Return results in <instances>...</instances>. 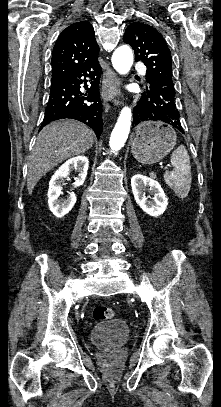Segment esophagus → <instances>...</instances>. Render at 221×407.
I'll return each instance as SVG.
<instances>
[{"label": "esophagus", "mask_w": 221, "mask_h": 407, "mask_svg": "<svg viewBox=\"0 0 221 407\" xmlns=\"http://www.w3.org/2000/svg\"><path fill=\"white\" fill-rule=\"evenodd\" d=\"M119 82V77L112 70L106 72V81L101 93V98L105 104L112 101L114 98L119 99L121 95Z\"/></svg>", "instance_id": "34e87169"}]
</instances>
